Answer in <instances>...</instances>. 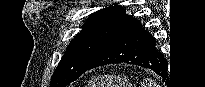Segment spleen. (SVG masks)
<instances>
[{"mask_svg": "<svg viewBox=\"0 0 205 87\" xmlns=\"http://www.w3.org/2000/svg\"><path fill=\"white\" fill-rule=\"evenodd\" d=\"M142 87H159L153 80L147 79L145 83H143Z\"/></svg>", "mask_w": 205, "mask_h": 87, "instance_id": "obj_1", "label": "spleen"}]
</instances>
